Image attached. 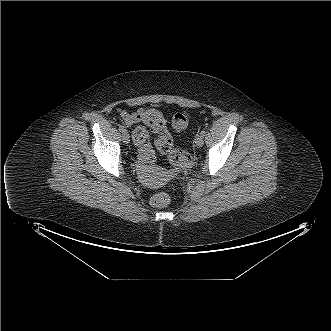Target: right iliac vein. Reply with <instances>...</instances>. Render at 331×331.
<instances>
[{
	"instance_id": "right-iliac-vein-1",
	"label": "right iliac vein",
	"mask_w": 331,
	"mask_h": 331,
	"mask_svg": "<svg viewBox=\"0 0 331 331\" xmlns=\"http://www.w3.org/2000/svg\"><path fill=\"white\" fill-rule=\"evenodd\" d=\"M122 140L125 144H128L130 142V136L126 130L122 132Z\"/></svg>"
}]
</instances>
